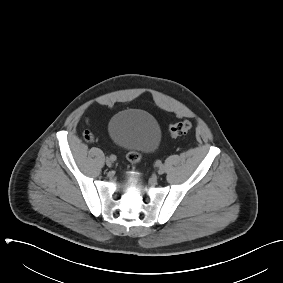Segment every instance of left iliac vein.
<instances>
[{"label": "left iliac vein", "mask_w": 283, "mask_h": 283, "mask_svg": "<svg viewBox=\"0 0 283 283\" xmlns=\"http://www.w3.org/2000/svg\"><path fill=\"white\" fill-rule=\"evenodd\" d=\"M164 172H165V167H164L163 165L159 166V168H158V174H159V175H162V174H164Z\"/></svg>", "instance_id": "left-iliac-vein-1"}]
</instances>
